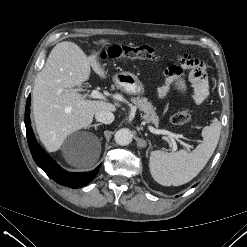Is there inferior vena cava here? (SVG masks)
Wrapping results in <instances>:
<instances>
[{
  "mask_svg": "<svg viewBox=\"0 0 247 247\" xmlns=\"http://www.w3.org/2000/svg\"><path fill=\"white\" fill-rule=\"evenodd\" d=\"M95 118L101 123L110 124L114 121V114L107 110H99L95 113Z\"/></svg>",
  "mask_w": 247,
  "mask_h": 247,
  "instance_id": "inferior-vena-cava-1",
  "label": "inferior vena cava"
}]
</instances>
